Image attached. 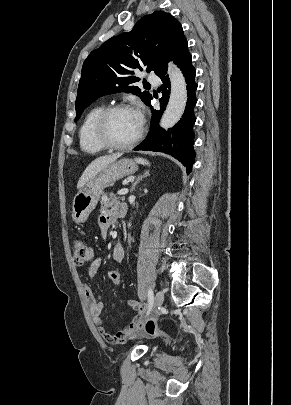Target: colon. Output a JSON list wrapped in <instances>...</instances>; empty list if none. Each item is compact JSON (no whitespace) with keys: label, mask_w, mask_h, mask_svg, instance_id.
Masks as SVG:
<instances>
[{"label":"colon","mask_w":291,"mask_h":405,"mask_svg":"<svg viewBox=\"0 0 291 405\" xmlns=\"http://www.w3.org/2000/svg\"><path fill=\"white\" fill-rule=\"evenodd\" d=\"M73 263L77 267H82L94 258V249L83 240H74L71 244ZM108 277L114 285H119L122 281V275L119 270H111ZM145 330L152 336L168 337L165 330L160 329L154 320H148L145 324Z\"/></svg>","instance_id":"obj_1"}]
</instances>
